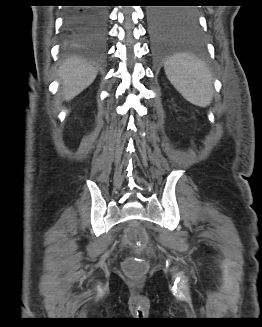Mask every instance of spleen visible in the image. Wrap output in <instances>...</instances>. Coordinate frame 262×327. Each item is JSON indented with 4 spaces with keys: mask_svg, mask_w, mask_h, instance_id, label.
Returning <instances> with one entry per match:
<instances>
[{
    "mask_svg": "<svg viewBox=\"0 0 262 327\" xmlns=\"http://www.w3.org/2000/svg\"><path fill=\"white\" fill-rule=\"evenodd\" d=\"M164 68L169 81L187 101L200 107L210 104L212 76L204 62L180 54L169 59Z\"/></svg>",
    "mask_w": 262,
    "mask_h": 327,
    "instance_id": "1",
    "label": "spleen"
}]
</instances>
